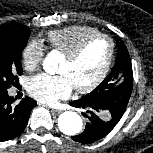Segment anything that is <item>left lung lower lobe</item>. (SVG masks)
I'll list each match as a JSON object with an SVG mask.
<instances>
[{"mask_svg":"<svg viewBox=\"0 0 153 153\" xmlns=\"http://www.w3.org/2000/svg\"><path fill=\"white\" fill-rule=\"evenodd\" d=\"M70 105L74 107H82L87 110L89 115L84 114L88 118L86 128L83 133L72 136V139L82 144H90L106 136L118 123V121L106 117L104 106L96 102H87L79 99L73 101Z\"/></svg>","mask_w":153,"mask_h":153,"instance_id":"obj_1","label":"left lung lower lobe"}]
</instances>
